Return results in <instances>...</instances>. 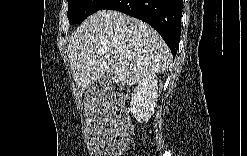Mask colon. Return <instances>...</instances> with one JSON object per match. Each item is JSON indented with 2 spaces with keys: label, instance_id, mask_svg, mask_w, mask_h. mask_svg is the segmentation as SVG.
I'll return each instance as SVG.
<instances>
[{
  "label": "colon",
  "instance_id": "obj_1",
  "mask_svg": "<svg viewBox=\"0 0 247 156\" xmlns=\"http://www.w3.org/2000/svg\"><path fill=\"white\" fill-rule=\"evenodd\" d=\"M116 96L119 98L127 99L129 96V91L124 87H117Z\"/></svg>",
  "mask_w": 247,
  "mask_h": 156
}]
</instances>
